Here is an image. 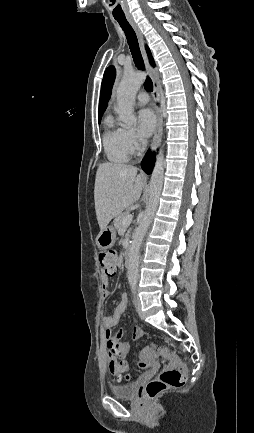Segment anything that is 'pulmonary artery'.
<instances>
[{
    "label": "pulmonary artery",
    "mask_w": 254,
    "mask_h": 433,
    "mask_svg": "<svg viewBox=\"0 0 254 433\" xmlns=\"http://www.w3.org/2000/svg\"><path fill=\"white\" fill-rule=\"evenodd\" d=\"M149 101V95L146 92H140L137 95V103L139 105H145L147 104Z\"/></svg>",
    "instance_id": "pulmonary-artery-1"
}]
</instances>
